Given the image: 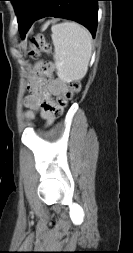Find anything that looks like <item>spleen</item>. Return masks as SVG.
Masks as SVG:
<instances>
[{"label":"spleen","instance_id":"3e777b00","mask_svg":"<svg viewBox=\"0 0 133 253\" xmlns=\"http://www.w3.org/2000/svg\"><path fill=\"white\" fill-rule=\"evenodd\" d=\"M54 61L57 75L64 82L82 79L88 70L92 54V36L75 22L52 26Z\"/></svg>","mask_w":133,"mask_h":253}]
</instances>
